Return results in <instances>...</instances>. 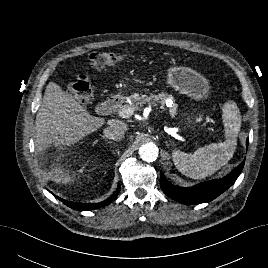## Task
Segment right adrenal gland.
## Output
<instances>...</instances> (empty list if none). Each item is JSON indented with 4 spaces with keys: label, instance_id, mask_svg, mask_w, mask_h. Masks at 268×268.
<instances>
[{
    "label": "right adrenal gland",
    "instance_id": "right-adrenal-gland-1",
    "mask_svg": "<svg viewBox=\"0 0 268 268\" xmlns=\"http://www.w3.org/2000/svg\"><path fill=\"white\" fill-rule=\"evenodd\" d=\"M101 138L104 139V140H105L107 143H109V144L114 143V142H112V141H108L104 136H101Z\"/></svg>",
    "mask_w": 268,
    "mask_h": 268
}]
</instances>
